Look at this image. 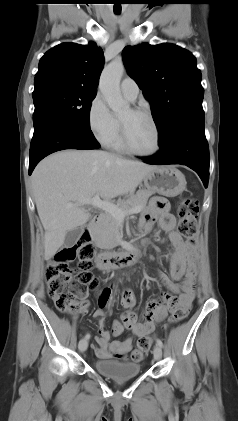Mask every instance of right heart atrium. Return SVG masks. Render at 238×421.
<instances>
[{
  "mask_svg": "<svg viewBox=\"0 0 238 421\" xmlns=\"http://www.w3.org/2000/svg\"><path fill=\"white\" fill-rule=\"evenodd\" d=\"M88 124L93 135L103 144L112 141L119 130L117 118L101 95H96L89 105Z\"/></svg>",
  "mask_w": 238,
  "mask_h": 421,
  "instance_id": "d8ad5b80",
  "label": "right heart atrium"
}]
</instances>
